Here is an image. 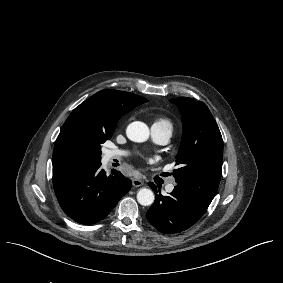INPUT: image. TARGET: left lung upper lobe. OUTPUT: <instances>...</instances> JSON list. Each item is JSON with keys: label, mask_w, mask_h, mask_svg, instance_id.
Here are the masks:
<instances>
[{"label": "left lung upper lobe", "mask_w": 283, "mask_h": 283, "mask_svg": "<svg viewBox=\"0 0 283 283\" xmlns=\"http://www.w3.org/2000/svg\"><path fill=\"white\" fill-rule=\"evenodd\" d=\"M183 123L182 143L173 176L176 187L210 204L220 178L223 140L216 121L206 104L192 98H174Z\"/></svg>", "instance_id": "1"}]
</instances>
